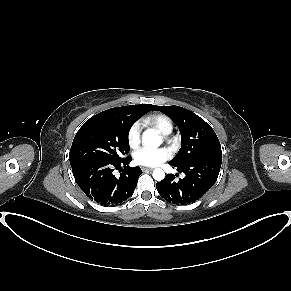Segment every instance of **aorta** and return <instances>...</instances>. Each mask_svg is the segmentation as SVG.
Returning <instances> with one entry per match:
<instances>
[{"mask_svg": "<svg viewBox=\"0 0 291 291\" xmlns=\"http://www.w3.org/2000/svg\"><path fill=\"white\" fill-rule=\"evenodd\" d=\"M142 142L148 146L158 147L162 144L163 140L156 130L148 129L143 133ZM152 175L156 181H161L165 177L164 171L160 168L155 169Z\"/></svg>", "mask_w": 291, "mask_h": 291, "instance_id": "762f6f07", "label": "aorta"}]
</instances>
